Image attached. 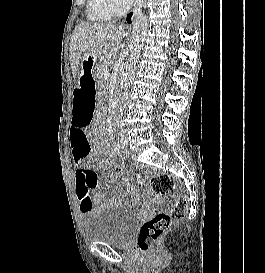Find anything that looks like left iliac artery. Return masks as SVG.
<instances>
[{
	"mask_svg": "<svg viewBox=\"0 0 265 273\" xmlns=\"http://www.w3.org/2000/svg\"><path fill=\"white\" fill-rule=\"evenodd\" d=\"M123 125H124L123 121L117 122V126H118V127H122Z\"/></svg>",
	"mask_w": 265,
	"mask_h": 273,
	"instance_id": "1",
	"label": "left iliac artery"
}]
</instances>
